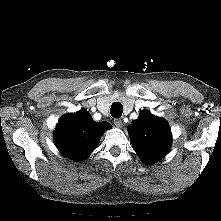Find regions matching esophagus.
<instances>
[{"mask_svg":"<svg viewBox=\"0 0 221 221\" xmlns=\"http://www.w3.org/2000/svg\"><path fill=\"white\" fill-rule=\"evenodd\" d=\"M114 124L116 127L121 128L123 123L121 119H114Z\"/></svg>","mask_w":221,"mask_h":221,"instance_id":"34e87169","label":"esophagus"}]
</instances>
